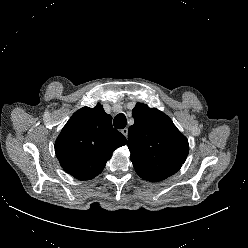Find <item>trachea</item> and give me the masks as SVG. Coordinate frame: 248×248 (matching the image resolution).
<instances>
[{"label":"trachea","mask_w":248,"mask_h":248,"mask_svg":"<svg viewBox=\"0 0 248 248\" xmlns=\"http://www.w3.org/2000/svg\"><path fill=\"white\" fill-rule=\"evenodd\" d=\"M126 123H127L126 116L123 113L116 115L113 121L114 127L117 129L125 128Z\"/></svg>","instance_id":"1"}]
</instances>
